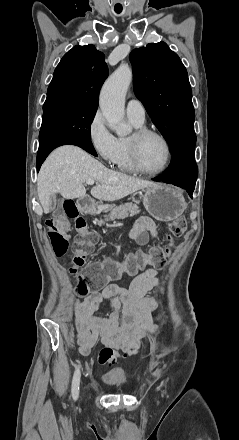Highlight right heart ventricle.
<instances>
[{
	"mask_svg": "<svg viewBox=\"0 0 239 440\" xmlns=\"http://www.w3.org/2000/svg\"><path fill=\"white\" fill-rule=\"evenodd\" d=\"M135 125L140 126L141 124H135ZM119 141H120V153L115 162V165L121 171L133 173L136 170L133 168L131 163L129 147H128V138H120Z\"/></svg>",
	"mask_w": 239,
	"mask_h": 440,
	"instance_id": "1",
	"label": "right heart ventricle"
}]
</instances>
